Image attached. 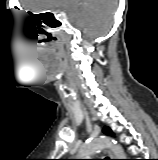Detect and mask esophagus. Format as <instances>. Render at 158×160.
<instances>
[{"label":"esophagus","mask_w":158,"mask_h":160,"mask_svg":"<svg viewBox=\"0 0 158 160\" xmlns=\"http://www.w3.org/2000/svg\"><path fill=\"white\" fill-rule=\"evenodd\" d=\"M107 154H108L109 157L112 158L113 155H112V153L110 151H107Z\"/></svg>","instance_id":"34e87169"}]
</instances>
